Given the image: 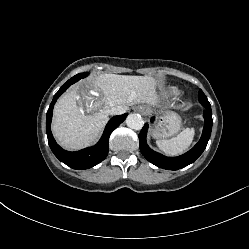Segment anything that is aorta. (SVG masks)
<instances>
[{"instance_id":"aorta-1","label":"aorta","mask_w":249,"mask_h":249,"mask_svg":"<svg viewBox=\"0 0 249 249\" xmlns=\"http://www.w3.org/2000/svg\"><path fill=\"white\" fill-rule=\"evenodd\" d=\"M126 124L131 129L140 130L144 125V121L139 114L132 113L127 116Z\"/></svg>"}]
</instances>
